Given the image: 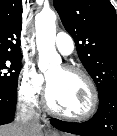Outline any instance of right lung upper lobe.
<instances>
[{
  "label": "right lung upper lobe",
  "mask_w": 117,
  "mask_h": 136,
  "mask_svg": "<svg viewBox=\"0 0 117 136\" xmlns=\"http://www.w3.org/2000/svg\"><path fill=\"white\" fill-rule=\"evenodd\" d=\"M22 1L0 0V56L20 57Z\"/></svg>",
  "instance_id": "1"
}]
</instances>
